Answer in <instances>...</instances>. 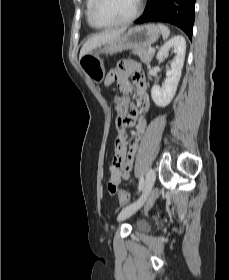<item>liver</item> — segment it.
Returning <instances> with one entry per match:
<instances>
[{
	"instance_id": "liver-1",
	"label": "liver",
	"mask_w": 229,
	"mask_h": 280,
	"mask_svg": "<svg viewBox=\"0 0 229 280\" xmlns=\"http://www.w3.org/2000/svg\"><path fill=\"white\" fill-rule=\"evenodd\" d=\"M126 31L123 29L109 30L91 36L82 46L79 54V59L88 54L92 50L104 45L105 43L120 37Z\"/></svg>"
}]
</instances>
